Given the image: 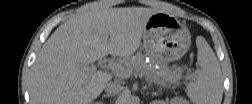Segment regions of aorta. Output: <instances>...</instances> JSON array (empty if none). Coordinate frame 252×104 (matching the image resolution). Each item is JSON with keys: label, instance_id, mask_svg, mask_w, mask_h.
I'll return each mask as SVG.
<instances>
[{"label": "aorta", "instance_id": "obj_1", "mask_svg": "<svg viewBox=\"0 0 252 104\" xmlns=\"http://www.w3.org/2000/svg\"><path fill=\"white\" fill-rule=\"evenodd\" d=\"M137 99H138L137 97H132L129 94L124 95V102L125 103H135Z\"/></svg>", "mask_w": 252, "mask_h": 104}]
</instances>
